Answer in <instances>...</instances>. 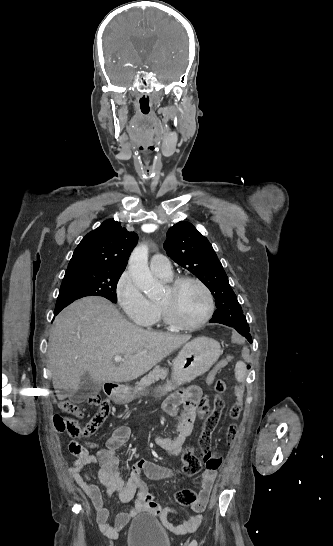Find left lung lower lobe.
Returning <instances> with one entry per match:
<instances>
[{
  "label": "left lung lower lobe",
  "instance_id": "left-lung-lower-lobe-1",
  "mask_svg": "<svg viewBox=\"0 0 333 546\" xmlns=\"http://www.w3.org/2000/svg\"><path fill=\"white\" fill-rule=\"evenodd\" d=\"M211 323H220V324H223L222 322H220V320L218 319H215V318H212L210 320ZM224 325H227V324H224ZM229 326V325H227ZM232 327V326H230ZM242 336H244L250 343H252V338H251V334L249 333V325L248 323H242L238 326H235L234 327Z\"/></svg>",
  "mask_w": 333,
  "mask_h": 546
}]
</instances>
